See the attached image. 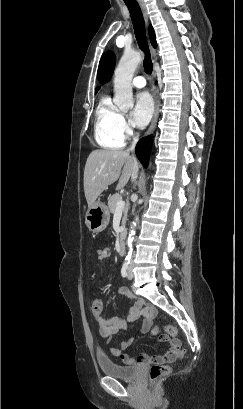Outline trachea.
<instances>
[{"label":"trachea","mask_w":243,"mask_h":409,"mask_svg":"<svg viewBox=\"0 0 243 409\" xmlns=\"http://www.w3.org/2000/svg\"><path fill=\"white\" fill-rule=\"evenodd\" d=\"M124 2L127 5L129 12L131 14L132 23L134 26L135 37L137 39L139 48L145 54V58H144L145 71L146 73L151 74L153 66H152L151 55H150L147 38H146L145 22L143 19L141 9L137 1L129 2L127 0H124Z\"/></svg>","instance_id":"trachea-1"}]
</instances>
